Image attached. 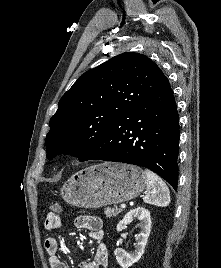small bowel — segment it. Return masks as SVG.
Instances as JSON below:
<instances>
[{"label": "small bowel", "instance_id": "small-bowel-1", "mask_svg": "<svg viewBox=\"0 0 221 268\" xmlns=\"http://www.w3.org/2000/svg\"><path fill=\"white\" fill-rule=\"evenodd\" d=\"M74 225L78 229H86L92 239L98 242V247L93 260L81 262L77 268H106L108 266V251L103 242L104 231L102 221L97 216L83 215L75 219ZM63 221L58 215L48 214L45 220V228L50 232H56L62 229ZM45 249L48 254V261L51 268H68L67 265L59 258V243L49 237L45 241Z\"/></svg>", "mask_w": 221, "mask_h": 268}]
</instances>
